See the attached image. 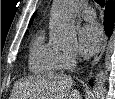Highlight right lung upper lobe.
<instances>
[{
	"mask_svg": "<svg viewBox=\"0 0 115 99\" xmlns=\"http://www.w3.org/2000/svg\"><path fill=\"white\" fill-rule=\"evenodd\" d=\"M34 15H35V14H34ZM32 21H33V19L30 21V24L32 23ZM30 24H29V25H30Z\"/></svg>",
	"mask_w": 115,
	"mask_h": 99,
	"instance_id": "right-lung-upper-lobe-1",
	"label": "right lung upper lobe"
}]
</instances>
